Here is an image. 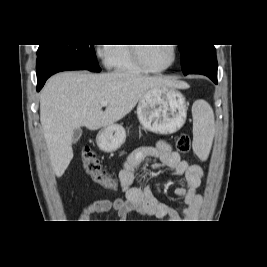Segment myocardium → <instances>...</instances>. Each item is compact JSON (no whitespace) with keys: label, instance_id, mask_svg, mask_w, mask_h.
Returning <instances> with one entry per match:
<instances>
[{"label":"myocardium","instance_id":"myocardium-1","mask_svg":"<svg viewBox=\"0 0 267 267\" xmlns=\"http://www.w3.org/2000/svg\"><path fill=\"white\" fill-rule=\"evenodd\" d=\"M139 45L140 44H133L131 46V51H132V55H133L135 62L140 67H142L145 71L152 72V73L164 72V71L170 69L176 63L177 46H175L174 44H170L171 48H172V53H173L171 62L168 65L161 67V68H153L146 63V61L143 59V56H142L141 46H139Z\"/></svg>","mask_w":267,"mask_h":267}]
</instances>
